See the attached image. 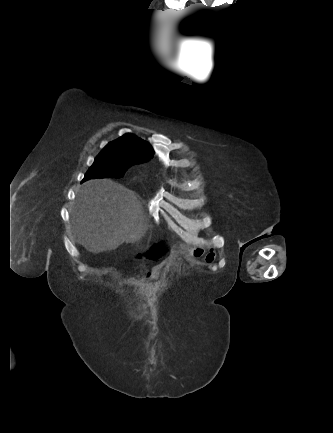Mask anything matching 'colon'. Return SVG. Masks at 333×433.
<instances>
[{"label": "colon", "instance_id": "1", "mask_svg": "<svg viewBox=\"0 0 333 433\" xmlns=\"http://www.w3.org/2000/svg\"><path fill=\"white\" fill-rule=\"evenodd\" d=\"M166 241L165 240H158L157 244H149L146 251V256L152 258V263H159V257L163 258L166 255H168V252H166ZM161 249V250H160ZM137 255H140V252H137ZM158 258H153V257Z\"/></svg>", "mask_w": 333, "mask_h": 433}]
</instances>
